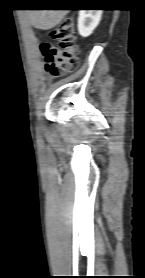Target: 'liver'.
I'll return each instance as SVG.
<instances>
[{
	"mask_svg": "<svg viewBox=\"0 0 145 278\" xmlns=\"http://www.w3.org/2000/svg\"><path fill=\"white\" fill-rule=\"evenodd\" d=\"M68 10H26L29 23L37 29L49 30L58 25Z\"/></svg>",
	"mask_w": 145,
	"mask_h": 278,
	"instance_id": "6515ba94",
	"label": "liver"
}]
</instances>
